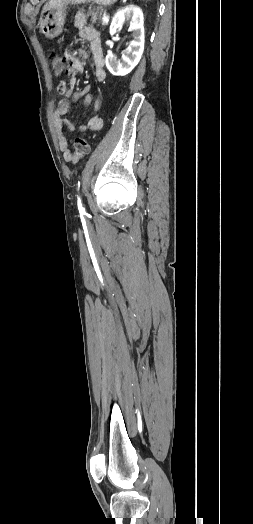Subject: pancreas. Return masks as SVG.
<instances>
[{
  "label": "pancreas",
  "mask_w": 253,
  "mask_h": 524,
  "mask_svg": "<svg viewBox=\"0 0 253 524\" xmlns=\"http://www.w3.org/2000/svg\"><path fill=\"white\" fill-rule=\"evenodd\" d=\"M101 12H102L101 8L97 7V8L92 9L91 7H89L87 16H91L92 23H97L101 18ZM77 15H80V12H78Z\"/></svg>",
  "instance_id": "cf45deb5"
}]
</instances>
